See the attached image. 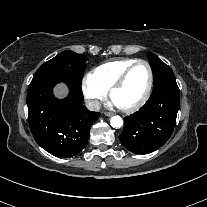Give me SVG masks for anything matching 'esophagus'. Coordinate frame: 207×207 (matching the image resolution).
Listing matches in <instances>:
<instances>
[{"label":"esophagus","mask_w":207,"mask_h":207,"mask_svg":"<svg viewBox=\"0 0 207 207\" xmlns=\"http://www.w3.org/2000/svg\"><path fill=\"white\" fill-rule=\"evenodd\" d=\"M104 115H105V116H109V117H110V116H112V115H113V113H111V112H105V113H104Z\"/></svg>","instance_id":"obj_1"}]
</instances>
